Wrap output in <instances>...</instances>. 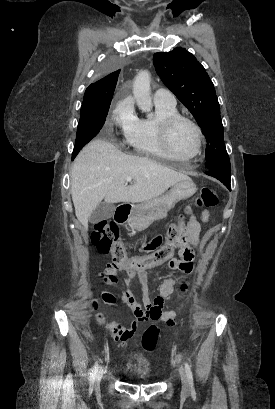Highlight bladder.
<instances>
[{
    "instance_id": "1",
    "label": "bladder",
    "mask_w": 275,
    "mask_h": 409,
    "mask_svg": "<svg viewBox=\"0 0 275 409\" xmlns=\"http://www.w3.org/2000/svg\"><path fill=\"white\" fill-rule=\"evenodd\" d=\"M126 371L135 381L150 383L153 380V375L151 373L150 367L146 362L141 363L138 361H134L127 366Z\"/></svg>"
}]
</instances>
